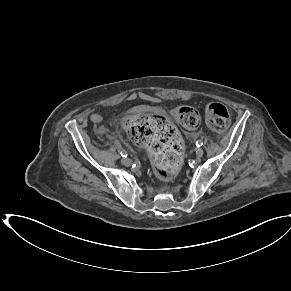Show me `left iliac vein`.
Instances as JSON below:
<instances>
[{"label":"left iliac vein","instance_id":"4c4485c4","mask_svg":"<svg viewBox=\"0 0 291 291\" xmlns=\"http://www.w3.org/2000/svg\"><path fill=\"white\" fill-rule=\"evenodd\" d=\"M204 154V150L202 148H197L196 149V157L201 158Z\"/></svg>","mask_w":291,"mask_h":291}]
</instances>
